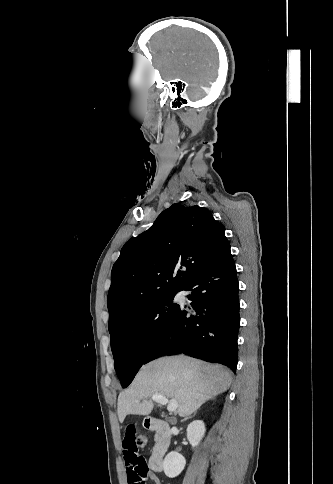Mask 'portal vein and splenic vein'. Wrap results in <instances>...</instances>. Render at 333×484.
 <instances>
[{
    "mask_svg": "<svg viewBox=\"0 0 333 484\" xmlns=\"http://www.w3.org/2000/svg\"><path fill=\"white\" fill-rule=\"evenodd\" d=\"M151 399L155 402H158L162 405H167V410L169 412H174L177 409L178 402L175 399H168L167 397L160 395V394H155L151 397Z\"/></svg>",
    "mask_w": 333,
    "mask_h": 484,
    "instance_id": "18ae733b",
    "label": "portal vein and splenic vein"
}]
</instances>
